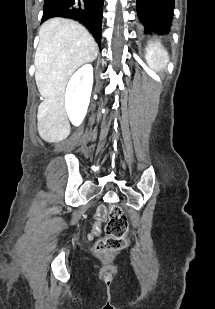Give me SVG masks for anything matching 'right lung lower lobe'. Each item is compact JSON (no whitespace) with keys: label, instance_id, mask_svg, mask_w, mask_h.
<instances>
[{"label":"right lung lower lobe","instance_id":"1","mask_svg":"<svg viewBox=\"0 0 215 309\" xmlns=\"http://www.w3.org/2000/svg\"><path fill=\"white\" fill-rule=\"evenodd\" d=\"M103 3L104 0H44L42 22L53 17L77 20L89 30L100 46Z\"/></svg>","mask_w":215,"mask_h":309}]
</instances>
